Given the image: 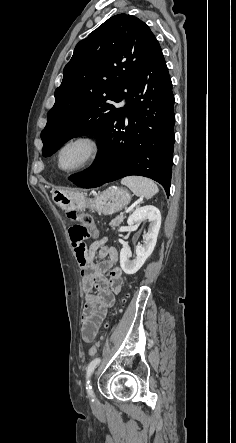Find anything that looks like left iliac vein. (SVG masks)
<instances>
[{"mask_svg": "<svg viewBox=\"0 0 236 443\" xmlns=\"http://www.w3.org/2000/svg\"><path fill=\"white\" fill-rule=\"evenodd\" d=\"M91 408H92V410L93 411H95L96 410V402H94L93 400H91Z\"/></svg>", "mask_w": 236, "mask_h": 443, "instance_id": "4c4485c4", "label": "left iliac vein"}]
</instances>
